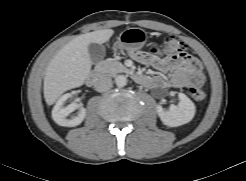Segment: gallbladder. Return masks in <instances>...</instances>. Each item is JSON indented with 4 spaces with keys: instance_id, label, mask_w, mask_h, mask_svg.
<instances>
[{
    "instance_id": "1",
    "label": "gallbladder",
    "mask_w": 246,
    "mask_h": 181,
    "mask_svg": "<svg viewBox=\"0 0 246 181\" xmlns=\"http://www.w3.org/2000/svg\"><path fill=\"white\" fill-rule=\"evenodd\" d=\"M88 51L93 64L99 63L105 56L104 47L95 43L89 44Z\"/></svg>"
}]
</instances>
